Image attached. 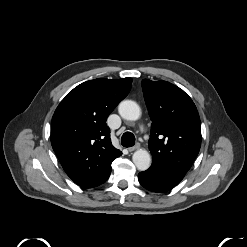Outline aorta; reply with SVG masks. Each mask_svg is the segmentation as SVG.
Returning a JSON list of instances; mask_svg holds the SVG:
<instances>
[{
  "mask_svg": "<svg viewBox=\"0 0 247 247\" xmlns=\"http://www.w3.org/2000/svg\"><path fill=\"white\" fill-rule=\"evenodd\" d=\"M118 112L123 119L136 121L141 116L139 105L132 100H124L118 106ZM132 160L140 171L147 170L151 165V156L145 149H138L133 153Z\"/></svg>",
  "mask_w": 247,
  "mask_h": 247,
  "instance_id": "762f6f07",
  "label": "aorta"
}]
</instances>
